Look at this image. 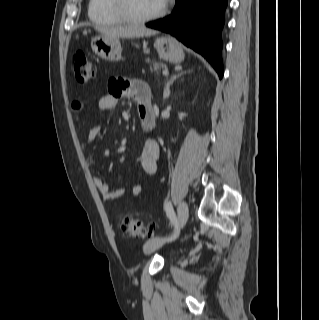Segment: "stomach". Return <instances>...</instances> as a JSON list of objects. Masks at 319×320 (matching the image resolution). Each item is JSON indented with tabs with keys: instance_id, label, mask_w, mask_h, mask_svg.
<instances>
[{
	"instance_id": "0dacf381",
	"label": "stomach",
	"mask_w": 319,
	"mask_h": 320,
	"mask_svg": "<svg viewBox=\"0 0 319 320\" xmlns=\"http://www.w3.org/2000/svg\"><path fill=\"white\" fill-rule=\"evenodd\" d=\"M93 52L107 61L117 62L122 59V48L119 37L99 35L92 39ZM154 47L161 59L171 63H181L184 60V52L176 39L170 36L156 38Z\"/></svg>"
}]
</instances>
